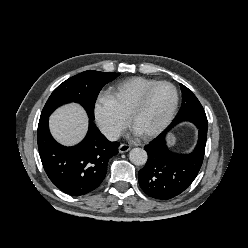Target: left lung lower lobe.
Returning a JSON list of instances; mask_svg holds the SVG:
<instances>
[{"mask_svg":"<svg viewBox=\"0 0 248 248\" xmlns=\"http://www.w3.org/2000/svg\"><path fill=\"white\" fill-rule=\"evenodd\" d=\"M182 121H190L198 128L197 145L190 154L173 153L166 145L167 133ZM207 127V119L181 120L172 123L167 130L145 147L148 160L139 171L138 178L140 187L148 196L168 200L190 186L203 162Z\"/></svg>","mask_w":248,"mask_h":248,"instance_id":"left-lung-lower-lobe-1","label":"left lung lower lobe"}]
</instances>
